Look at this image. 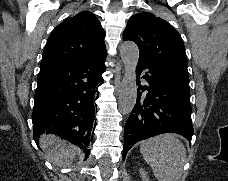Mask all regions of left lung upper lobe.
I'll return each instance as SVG.
<instances>
[{"label":"left lung upper lobe","mask_w":228,"mask_h":181,"mask_svg":"<svg viewBox=\"0 0 228 181\" xmlns=\"http://www.w3.org/2000/svg\"><path fill=\"white\" fill-rule=\"evenodd\" d=\"M123 38L137 44L141 59L163 62L188 72L187 56L180 34L154 14L141 12L133 15Z\"/></svg>","instance_id":"left-lung-upper-lobe-1"}]
</instances>
